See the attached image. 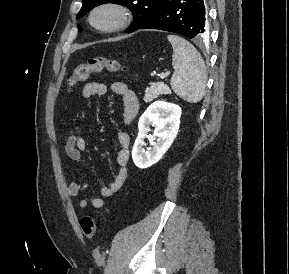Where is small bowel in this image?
<instances>
[{
    "label": "small bowel",
    "mask_w": 289,
    "mask_h": 274,
    "mask_svg": "<svg viewBox=\"0 0 289 274\" xmlns=\"http://www.w3.org/2000/svg\"><path fill=\"white\" fill-rule=\"evenodd\" d=\"M109 91L119 95L123 102V119L125 124H130L139 112V100L133 90L123 82H113L106 85L100 82L87 83L82 89V97L89 99L94 95L103 96ZM117 142L119 149L116 156L118 171L114 179L99 191V196L86 195L82 197L78 206L80 209H86L91 206L96 209H101L105 206V198L113 197L123 186L128 175V160L130 137L128 133L122 131L118 134ZM65 153L75 163L80 166L85 165L84 153L87 151V141L80 134L77 127H72L69 130L68 137L65 142ZM88 189L87 184L72 182L68 187V194L72 198L85 193Z\"/></svg>",
    "instance_id": "c3829d8e"
}]
</instances>
